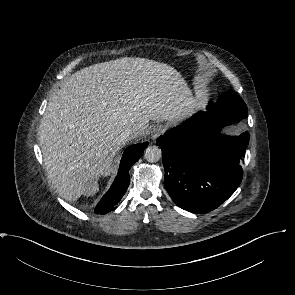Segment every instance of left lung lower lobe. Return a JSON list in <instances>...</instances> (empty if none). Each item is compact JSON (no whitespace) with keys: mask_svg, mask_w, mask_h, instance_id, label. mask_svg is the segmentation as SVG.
Instances as JSON below:
<instances>
[{"mask_svg":"<svg viewBox=\"0 0 295 295\" xmlns=\"http://www.w3.org/2000/svg\"><path fill=\"white\" fill-rule=\"evenodd\" d=\"M241 119L217 111L210 102L206 112L194 114L157 139L162 149L164 186L180 208L210 212L238 188L249 132L225 136L220 129Z\"/></svg>","mask_w":295,"mask_h":295,"instance_id":"obj_1","label":"left lung lower lobe"}]
</instances>
